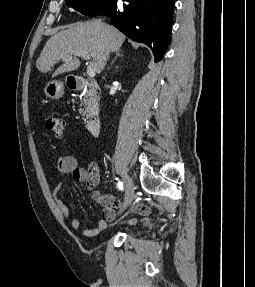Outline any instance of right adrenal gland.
Here are the masks:
<instances>
[{"label":"right adrenal gland","instance_id":"2a0ac1e0","mask_svg":"<svg viewBox=\"0 0 255 287\" xmlns=\"http://www.w3.org/2000/svg\"><path fill=\"white\" fill-rule=\"evenodd\" d=\"M115 54H116V56H115L113 62H111V64H114V62H115L116 58H118V56H122L120 50H118V52H115Z\"/></svg>","mask_w":255,"mask_h":287}]
</instances>
